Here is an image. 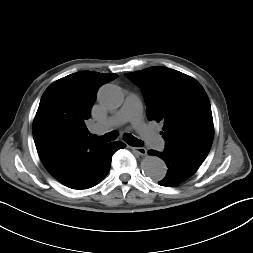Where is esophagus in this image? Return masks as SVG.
<instances>
[{"mask_svg": "<svg viewBox=\"0 0 253 253\" xmlns=\"http://www.w3.org/2000/svg\"><path fill=\"white\" fill-rule=\"evenodd\" d=\"M131 149L141 156H144L147 153V150L144 147H131Z\"/></svg>", "mask_w": 253, "mask_h": 253, "instance_id": "obj_1", "label": "esophagus"}]
</instances>
